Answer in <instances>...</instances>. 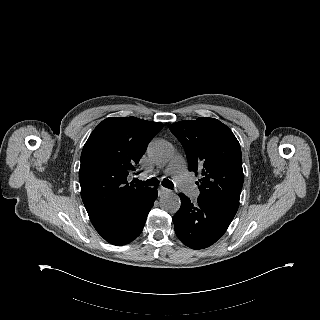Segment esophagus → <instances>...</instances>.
Wrapping results in <instances>:
<instances>
[{
    "label": "esophagus",
    "instance_id": "1",
    "mask_svg": "<svg viewBox=\"0 0 320 320\" xmlns=\"http://www.w3.org/2000/svg\"><path fill=\"white\" fill-rule=\"evenodd\" d=\"M171 192V190L170 189H167V188H165V187H159V189H158V194L159 195H163V194H166V193H170Z\"/></svg>",
    "mask_w": 320,
    "mask_h": 320
}]
</instances>
